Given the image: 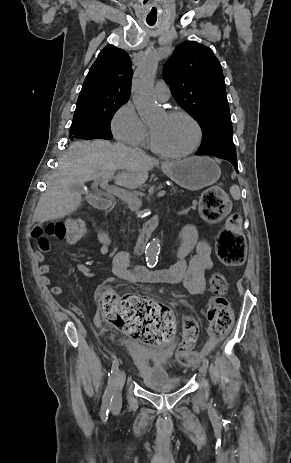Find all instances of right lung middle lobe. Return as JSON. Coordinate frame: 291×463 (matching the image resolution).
<instances>
[{"label": "right lung middle lobe", "instance_id": "1", "mask_svg": "<svg viewBox=\"0 0 291 463\" xmlns=\"http://www.w3.org/2000/svg\"><path fill=\"white\" fill-rule=\"evenodd\" d=\"M125 102L107 101L94 111L74 116L70 138L75 139H111L110 122L114 113Z\"/></svg>", "mask_w": 291, "mask_h": 463}]
</instances>
